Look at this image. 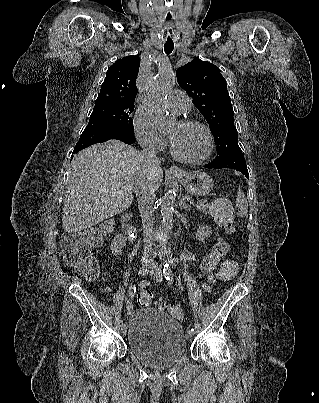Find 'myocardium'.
I'll use <instances>...</instances> for the list:
<instances>
[{
  "label": "myocardium",
  "mask_w": 319,
  "mask_h": 403,
  "mask_svg": "<svg viewBox=\"0 0 319 403\" xmlns=\"http://www.w3.org/2000/svg\"><path fill=\"white\" fill-rule=\"evenodd\" d=\"M179 123L182 125H186V126H190V125H195L198 126L200 128H202L207 136V150L204 153L203 156H201L200 158H196V159H189V158H185L181 155H179L172 143H170V152L172 157L184 164H191V165H195V164H201L203 162H205L213 153L214 150V136L212 134L211 129L209 128V126L207 124H205L204 122L197 120V119H193V118H182L179 120Z\"/></svg>",
  "instance_id": "myocardium-1"
}]
</instances>
